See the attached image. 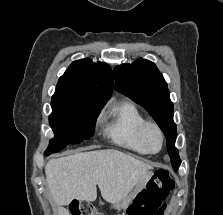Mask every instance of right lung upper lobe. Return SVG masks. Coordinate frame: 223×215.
Returning a JSON list of instances; mask_svg holds the SVG:
<instances>
[{"mask_svg": "<svg viewBox=\"0 0 223 215\" xmlns=\"http://www.w3.org/2000/svg\"><path fill=\"white\" fill-rule=\"evenodd\" d=\"M113 92L109 65L90 59L74 61L59 78L51 105L101 107Z\"/></svg>", "mask_w": 223, "mask_h": 215, "instance_id": "1", "label": "right lung upper lobe"}]
</instances>
